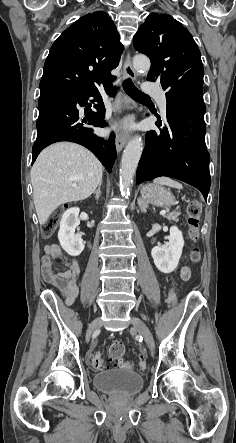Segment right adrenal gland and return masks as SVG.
<instances>
[{"label": "right adrenal gland", "instance_id": "right-adrenal-gland-1", "mask_svg": "<svg viewBox=\"0 0 236 443\" xmlns=\"http://www.w3.org/2000/svg\"><path fill=\"white\" fill-rule=\"evenodd\" d=\"M101 184H102V182L99 184L98 189L94 192L97 199H99V197L101 195Z\"/></svg>", "mask_w": 236, "mask_h": 443}]
</instances>
